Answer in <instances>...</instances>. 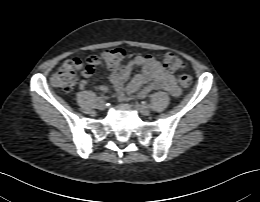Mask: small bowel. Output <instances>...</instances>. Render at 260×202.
Returning a JSON list of instances; mask_svg holds the SVG:
<instances>
[{"label": "small bowel", "instance_id": "1", "mask_svg": "<svg viewBox=\"0 0 260 202\" xmlns=\"http://www.w3.org/2000/svg\"><path fill=\"white\" fill-rule=\"evenodd\" d=\"M135 69H139V72L130 78ZM83 74L86 78H90L94 71H85ZM109 79L122 102L143 99L158 89L166 90L174 97L180 94L174 76L166 73L160 62L152 55L135 56L124 65L111 68ZM91 81L82 80L80 88H85ZM95 89L100 92L108 91L106 85L95 86Z\"/></svg>", "mask_w": 260, "mask_h": 202}]
</instances>
